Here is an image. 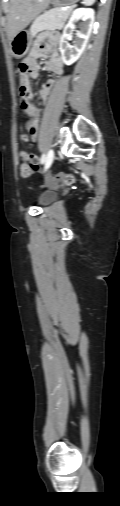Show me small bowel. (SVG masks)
I'll return each instance as SVG.
<instances>
[{"label":"small bowel","instance_id":"obj_1","mask_svg":"<svg viewBox=\"0 0 120 506\" xmlns=\"http://www.w3.org/2000/svg\"><path fill=\"white\" fill-rule=\"evenodd\" d=\"M59 36L56 34H45L39 36L34 42V45L25 59L28 66L27 72L20 74V88H24L27 92L22 107L26 115L29 117L28 130L33 140L37 138L40 109L31 101L33 96V87L30 78H37L39 76L40 66L38 59L46 57L45 69L60 76L63 74V61L58 54L57 45ZM56 80L48 79L40 89V99L46 102L54 87Z\"/></svg>","mask_w":120,"mask_h":506}]
</instances>
